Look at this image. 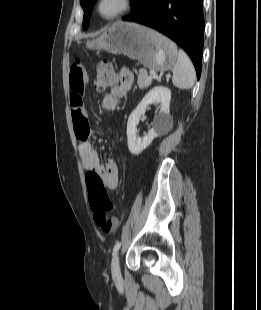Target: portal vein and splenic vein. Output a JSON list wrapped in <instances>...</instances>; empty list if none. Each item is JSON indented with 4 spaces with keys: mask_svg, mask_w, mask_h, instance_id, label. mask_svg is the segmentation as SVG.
<instances>
[{
    "mask_svg": "<svg viewBox=\"0 0 261 310\" xmlns=\"http://www.w3.org/2000/svg\"><path fill=\"white\" fill-rule=\"evenodd\" d=\"M158 76L154 73V72H152L150 75H149V78H157Z\"/></svg>",
    "mask_w": 261,
    "mask_h": 310,
    "instance_id": "18ae733b",
    "label": "portal vein and splenic vein"
}]
</instances>
